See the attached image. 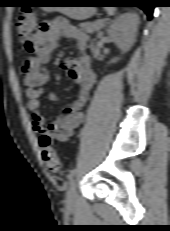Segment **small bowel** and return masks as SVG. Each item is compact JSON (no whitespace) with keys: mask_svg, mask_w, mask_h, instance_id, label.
I'll use <instances>...</instances> for the list:
<instances>
[{"mask_svg":"<svg viewBox=\"0 0 170 231\" xmlns=\"http://www.w3.org/2000/svg\"><path fill=\"white\" fill-rule=\"evenodd\" d=\"M36 36L38 47L35 56L27 59L22 67L25 94L28 98L27 108L32 118V129L39 134H48L57 141L65 142L82 122L83 107L95 84V74L85 52L88 36L64 18L43 22ZM63 38L74 39L80 52L77 59H69L62 64L70 78L79 85V90L77 98L64 108L53 123L46 126L40 110V97L48 81V73L44 65L49 61L52 52ZM49 99L57 101L58 95L51 93Z\"/></svg>","mask_w":170,"mask_h":231,"instance_id":"small-bowel-1","label":"small bowel"}]
</instances>
